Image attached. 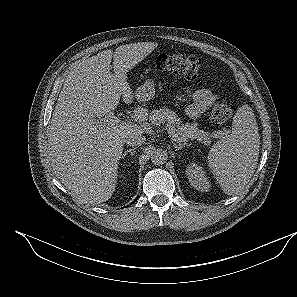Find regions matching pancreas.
<instances>
[{
    "label": "pancreas",
    "mask_w": 297,
    "mask_h": 297,
    "mask_svg": "<svg viewBox=\"0 0 297 297\" xmlns=\"http://www.w3.org/2000/svg\"><path fill=\"white\" fill-rule=\"evenodd\" d=\"M150 120L154 125L166 122L169 128L173 129L183 142L198 140L206 145L211 143L212 134L210 132L198 129L196 123L181 124L179 116L168 108L153 110L150 113Z\"/></svg>",
    "instance_id": "cf45deb5"
}]
</instances>
